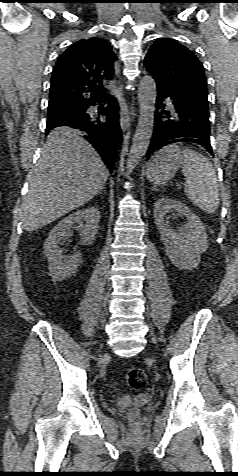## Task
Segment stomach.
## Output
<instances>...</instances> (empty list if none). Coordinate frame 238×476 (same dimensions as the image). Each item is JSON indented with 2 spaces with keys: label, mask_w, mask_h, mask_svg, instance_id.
<instances>
[{
  "label": "stomach",
  "mask_w": 238,
  "mask_h": 476,
  "mask_svg": "<svg viewBox=\"0 0 238 476\" xmlns=\"http://www.w3.org/2000/svg\"><path fill=\"white\" fill-rule=\"evenodd\" d=\"M183 164V156L177 145H169L157 152L146 166L148 180L155 185H164L171 180Z\"/></svg>",
  "instance_id": "1"
}]
</instances>
